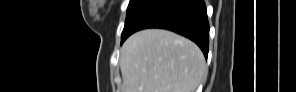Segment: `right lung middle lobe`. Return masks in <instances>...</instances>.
<instances>
[{
    "label": "right lung middle lobe",
    "instance_id": "obj_1",
    "mask_svg": "<svg viewBox=\"0 0 296 92\" xmlns=\"http://www.w3.org/2000/svg\"><path fill=\"white\" fill-rule=\"evenodd\" d=\"M153 1L154 0H130L121 40L127 36L134 22Z\"/></svg>",
    "mask_w": 296,
    "mask_h": 92
}]
</instances>
